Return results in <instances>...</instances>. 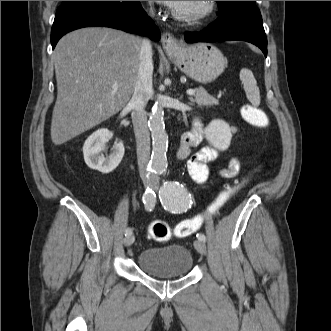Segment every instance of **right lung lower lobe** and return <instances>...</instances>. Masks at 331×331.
Listing matches in <instances>:
<instances>
[{"label":"right lung lower lobe","mask_w":331,"mask_h":331,"mask_svg":"<svg viewBox=\"0 0 331 331\" xmlns=\"http://www.w3.org/2000/svg\"><path fill=\"white\" fill-rule=\"evenodd\" d=\"M93 26L148 35L154 40L160 37L139 1H78L58 8L51 30L52 48L66 33Z\"/></svg>","instance_id":"1"}]
</instances>
